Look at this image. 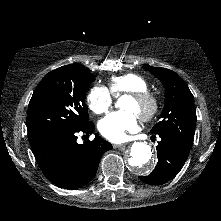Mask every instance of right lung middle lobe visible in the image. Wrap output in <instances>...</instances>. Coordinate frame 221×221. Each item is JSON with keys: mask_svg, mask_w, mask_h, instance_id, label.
<instances>
[{"mask_svg": "<svg viewBox=\"0 0 221 221\" xmlns=\"http://www.w3.org/2000/svg\"><path fill=\"white\" fill-rule=\"evenodd\" d=\"M95 78L87 67L70 64L49 72L29 102L27 130L30 144L50 134L78 130L89 120L84 102Z\"/></svg>", "mask_w": 221, "mask_h": 221, "instance_id": "right-lung-middle-lobe-1", "label": "right lung middle lobe"}]
</instances>
